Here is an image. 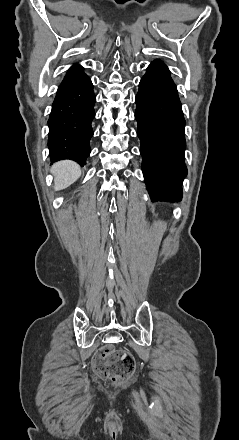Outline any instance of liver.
<instances>
[{"label":"liver","mask_w":239,"mask_h":440,"mask_svg":"<svg viewBox=\"0 0 239 440\" xmlns=\"http://www.w3.org/2000/svg\"><path fill=\"white\" fill-rule=\"evenodd\" d=\"M51 174H54V190H64L71 184H74L81 176L80 166L76 162L71 160H63V162H57L50 170Z\"/></svg>","instance_id":"6515ba94"}]
</instances>
